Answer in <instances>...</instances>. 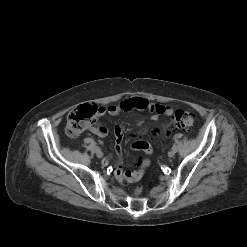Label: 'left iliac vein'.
<instances>
[{
	"label": "left iliac vein",
	"mask_w": 247,
	"mask_h": 247,
	"mask_svg": "<svg viewBox=\"0 0 247 247\" xmlns=\"http://www.w3.org/2000/svg\"><path fill=\"white\" fill-rule=\"evenodd\" d=\"M175 151L174 150H170L169 152H168V156L170 157V158H172V157H174V155H175Z\"/></svg>",
	"instance_id": "4c4485c4"
}]
</instances>
